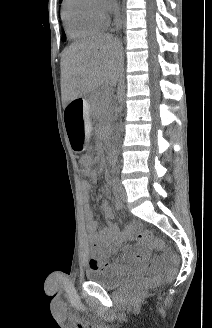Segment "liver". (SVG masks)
<instances>
[{"label": "liver", "instance_id": "1", "mask_svg": "<svg viewBox=\"0 0 212 328\" xmlns=\"http://www.w3.org/2000/svg\"><path fill=\"white\" fill-rule=\"evenodd\" d=\"M120 49V42L111 34H99L66 48L61 57L63 101L78 99L101 86L116 85Z\"/></svg>", "mask_w": 212, "mask_h": 328}]
</instances>
